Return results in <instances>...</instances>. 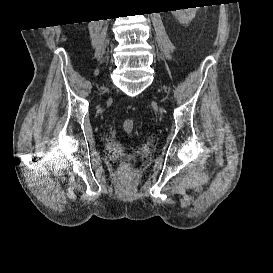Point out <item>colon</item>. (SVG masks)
Returning <instances> with one entry per match:
<instances>
[{
    "instance_id": "colon-1",
    "label": "colon",
    "mask_w": 273,
    "mask_h": 273,
    "mask_svg": "<svg viewBox=\"0 0 273 273\" xmlns=\"http://www.w3.org/2000/svg\"><path fill=\"white\" fill-rule=\"evenodd\" d=\"M135 123L132 119H125L123 121V129L126 133H131L134 129Z\"/></svg>"
}]
</instances>
